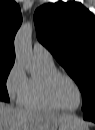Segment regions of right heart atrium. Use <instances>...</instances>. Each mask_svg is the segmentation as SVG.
Wrapping results in <instances>:
<instances>
[{
    "label": "right heart atrium",
    "mask_w": 95,
    "mask_h": 130,
    "mask_svg": "<svg viewBox=\"0 0 95 130\" xmlns=\"http://www.w3.org/2000/svg\"><path fill=\"white\" fill-rule=\"evenodd\" d=\"M28 81L29 78L23 67L18 61H15L5 80L6 91L12 101L21 104L28 86Z\"/></svg>",
    "instance_id": "obj_1"
}]
</instances>
